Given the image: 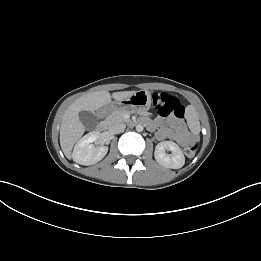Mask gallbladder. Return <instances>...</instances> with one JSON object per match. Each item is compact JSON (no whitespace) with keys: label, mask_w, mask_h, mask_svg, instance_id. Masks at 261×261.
<instances>
[{"label":"gallbladder","mask_w":261,"mask_h":261,"mask_svg":"<svg viewBox=\"0 0 261 261\" xmlns=\"http://www.w3.org/2000/svg\"><path fill=\"white\" fill-rule=\"evenodd\" d=\"M79 119L83 126L88 130H94L98 124L97 116L90 111L79 112Z\"/></svg>","instance_id":"bac80fb5"}]
</instances>
